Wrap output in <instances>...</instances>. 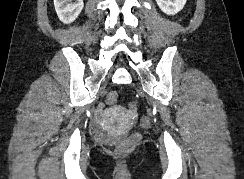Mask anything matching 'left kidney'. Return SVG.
<instances>
[{"mask_svg":"<svg viewBox=\"0 0 244 179\" xmlns=\"http://www.w3.org/2000/svg\"><path fill=\"white\" fill-rule=\"evenodd\" d=\"M156 2L164 14L174 16L184 8L187 0H156Z\"/></svg>","mask_w":244,"mask_h":179,"instance_id":"left-kidney-1","label":"left kidney"}]
</instances>
